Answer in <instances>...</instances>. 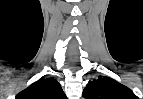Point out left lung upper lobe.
Listing matches in <instances>:
<instances>
[{
    "mask_svg": "<svg viewBox=\"0 0 143 99\" xmlns=\"http://www.w3.org/2000/svg\"><path fill=\"white\" fill-rule=\"evenodd\" d=\"M83 96L90 99H138L128 87L107 76L89 81Z\"/></svg>",
    "mask_w": 143,
    "mask_h": 99,
    "instance_id": "left-lung-upper-lobe-1",
    "label": "left lung upper lobe"
}]
</instances>
